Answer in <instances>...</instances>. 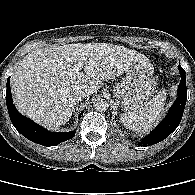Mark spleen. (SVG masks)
<instances>
[{
    "mask_svg": "<svg viewBox=\"0 0 195 195\" xmlns=\"http://www.w3.org/2000/svg\"><path fill=\"white\" fill-rule=\"evenodd\" d=\"M165 90L159 91L139 110L120 114V120L125 127L136 133H146L160 119L166 101Z\"/></svg>",
    "mask_w": 195,
    "mask_h": 195,
    "instance_id": "obj_1",
    "label": "spleen"
}]
</instances>
